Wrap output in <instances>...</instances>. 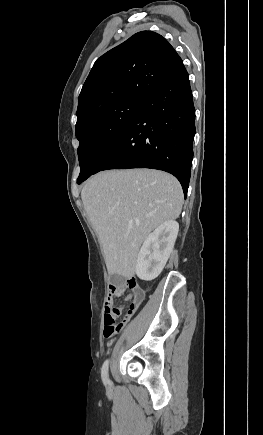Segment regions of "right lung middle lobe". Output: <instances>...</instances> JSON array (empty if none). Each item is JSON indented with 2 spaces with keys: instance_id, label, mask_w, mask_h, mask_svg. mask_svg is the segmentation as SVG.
I'll return each mask as SVG.
<instances>
[{
  "instance_id": "right-lung-middle-lobe-1",
  "label": "right lung middle lobe",
  "mask_w": 263,
  "mask_h": 435,
  "mask_svg": "<svg viewBox=\"0 0 263 435\" xmlns=\"http://www.w3.org/2000/svg\"><path fill=\"white\" fill-rule=\"evenodd\" d=\"M142 103L143 101L130 99L108 103L92 111L76 127V137L80 142L77 152L81 168L78 184L95 173Z\"/></svg>"
}]
</instances>
